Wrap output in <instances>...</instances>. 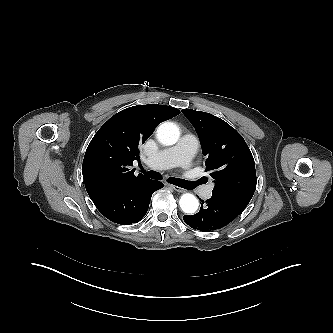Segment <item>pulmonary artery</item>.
<instances>
[{
	"label": "pulmonary artery",
	"instance_id": "1",
	"mask_svg": "<svg viewBox=\"0 0 333 333\" xmlns=\"http://www.w3.org/2000/svg\"><path fill=\"white\" fill-rule=\"evenodd\" d=\"M198 144V139L194 135L186 134L175 146L161 150L147 158L146 164L155 169H167L176 166L187 167L197 151ZM211 195L212 188L207 187L203 191V196L210 198Z\"/></svg>",
	"mask_w": 333,
	"mask_h": 333
}]
</instances>
